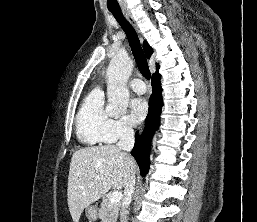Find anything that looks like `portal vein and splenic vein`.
Masks as SVG:
<instances>
[{"mask_svg":"<svg viewBox=\"0 0 257 222\" xmlns=\"http://www.w3.org/2000/svg\"><path fill=\"white\" fill-rule=\"evenodd\" d=\"M122 199V193L121 192H114L109 198L110 203H118Z\"/></svg>","mask_w":257,"mask_h":222,"instance_id":"obj_1","label":"portal vein and splenic vein"}]
</instances>
